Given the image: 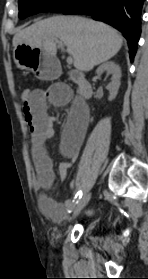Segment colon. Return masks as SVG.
Instances as JSON below:
<instances>
[{
    "instance_id": "colon-1",
    "label": "colon",
    "mask_w": 148,
    "mask_h": 279,
    "mask_svg": "<svg viewBox=\"0 0 148 279\" xmlns=\"http://www.w3.org/2000/svg\"><path fill=\"white\" fill-rule=\"evenodd\" d=\"M21 98L23 102H28L32 99V91L29 90L28 88H25L21 92Z\"/></svg>"
}]
</instances>
